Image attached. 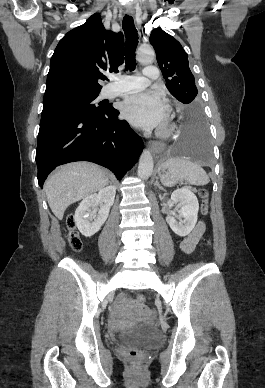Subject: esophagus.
I'll use <instances>...</instances> for the list:
<instances>
[{"label": "esophagus", "mask_w": 265, "mask_h": 388, "mask_svg": "<svg viewBox=\"0 0 265 388\" xmlns=\"http://www.w3.org/2000/svg\"><path fill=\"white\" fill-rule=\"evenodd\" d=\"M126 13L133 16L135 14V10L126 9ZM148 147L151 149L154 156H160L165 150V144L161 142H150Z\"/></svg>", "instance_id": "esophagus-1"}]
</instances>
